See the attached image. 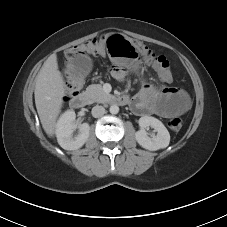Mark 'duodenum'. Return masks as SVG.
<instances>
[{"label":"duodenum","mask_w":227,"mask_h":227,"mask_svg":"<svg viewBox=\"0 0 227 227\" xmlns=\"http://www.w3.org/2000/svg\"><path fill=\"white\" fill-rule=\"evenodd\" d=\"M90 101V96L86 92L78 93L71 99V106L73 108L79 109L86 106ZM114 101L119 105H125L128 102L127 97L118 96Z\"/></svg>","instance_id":"duodenum-1"}]
</instances>
